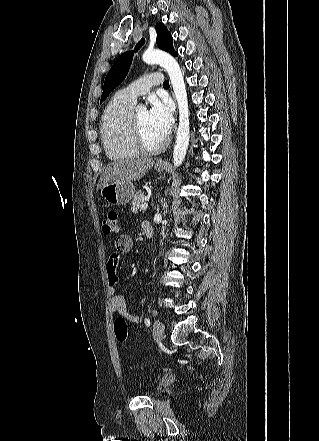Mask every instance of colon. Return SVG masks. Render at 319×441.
<instances>
[{
    "instance_id": "colon-1",
    "label": "colon",
    "mask_w": 319,
    "mask_h": 441,
    "mask_svg": "<svg viewBox=\"0 0 319 441\" xmlns=\"http://www.w3.org/2000/svg\"><path fill=\"white\" fill-rule=\"evenodd\" d=\"M121 230L119 215L116 210L107 212L102 223V231L104 234H117ZM114 332L118 341H125L127 338V324L123 317L114 320Z\"/></svg>"
}]
</instances>
